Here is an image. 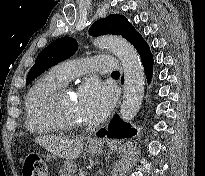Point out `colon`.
<instances>
[{"mask_svg":"<svg viewBox=\"0 0 205 176\" xmlns=\"http://www.w3.org/2000/svg\"><path fill=\"white\" fill-rule=\"evenodd\" d=\"M22 176H47V164L41 157H29L22 167Z\"/></svg>","mask_w":205,"mask_h":176,"instance_id":"obj_1","label":"colon"}]
</instances>
